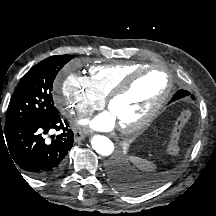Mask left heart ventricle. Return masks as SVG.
Wrapping results in <instances>:
<instances>
[{
	"label": "left heart ventricle",
	"instance_id": "obj_1",
	"mask_svg": "<svg viewBox=\"0 0 216 216\" xmlns=\"http://www.w3.org/2000/svg\"><path fill=\"white\" fill-rule=\"evenodd\" d=\"M166 77L152 71L139 78L132 89L112 102L110 111L116 123L128 125L141 119L166 89Z\"/></svg>",
	"mask_w": 216,
	"mask_h": 216
}]
</instances>
